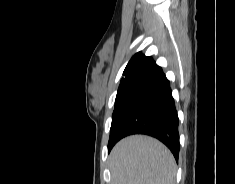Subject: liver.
<instances>
[{
	"label": "liver",
	"mask_w": 235,
	"mask_h": 184,
	"mask_svg": "<svg viewBox=\"0 0 235 184\" xmlns=\"http://www.w3.org/2000/svg\"><path fill=\"white\" fill-rule=\"evenodd\" d=\"M112 184H175L176 162L170 150L150 136H128L109 156Z\"/></svg>",
	"instance_id": "obj_1"
}]
</instances>
